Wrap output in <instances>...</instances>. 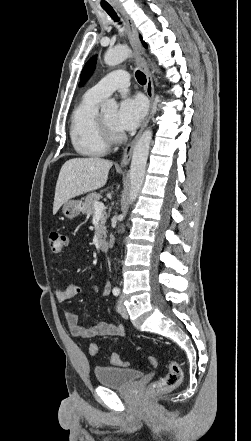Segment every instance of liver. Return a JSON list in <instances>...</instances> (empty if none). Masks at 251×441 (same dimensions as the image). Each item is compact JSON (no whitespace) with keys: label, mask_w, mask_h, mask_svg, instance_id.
Wrapping results in <instances>:
<instances>
[{"label":"liver","mask_w":251,"mask_h":441,"mask_svg":"<svg viewBox=\"0 0 251 441\" xmlns=\"http://www.w3.org/2000/svg\"><path fill=\"white\" fill-rule=\"evenodd\" d=\"M113 163L98 157L73 158L60 170L55 188L53 214L69 199L103 187Z\"/></svg>","instance_id":"1"}]
</instances>
